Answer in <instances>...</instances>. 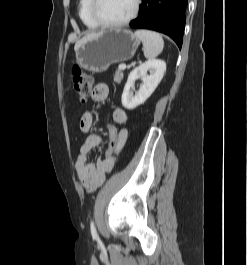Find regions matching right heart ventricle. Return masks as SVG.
Here are the masks:
<instances>
[{
  "label": "right heart ventricle",
  "mask_w": 247,
  "mask_h": 265,
  "mask_svg": "<svg viewBox=\"0 0 247 265\" xmlns=\"http://www.w3.org/2000/svg\"><path fill=\"white\" fill-rule=\"evenodd\" d=\"M90 2L91 0H79L78 2L79 17L86 27L90 29H96L99 26L95 23V21L91 17Z\"/></svg>",
  "instance_id": "obj_1"
}]
</instances>
